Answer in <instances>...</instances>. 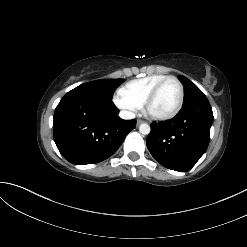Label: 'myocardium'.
<instances>
[{"mask_svg":"<svg viewBox=\"0 0 247 247\" xmlns=\"http://www.w3.org/2000/svg\"><path fill=\"white\" fill-rule=\"evenodd\" d=\"M169 80L175 81L179 86V102H178L176 108L171 113H169L167 115H161V116L160 115H154V114L149 112V105L154 100L155 96L157 95L159 90L162 88V86ZM184 99H185V94H184V86H183L182 82L175 76H166L161 81H159L154 86V88L149 92V94L147 95V97L144 100L143 110H144L146 115H148L150 118H152L154 120L168 121V120L173 119L174 117H176L179 114V112L181 111V109L183 107Z\"/></svg>","mask_w":247,"mask_h":247,"instance_id":"obj_1","label":"myocardium"}]
</instances>
